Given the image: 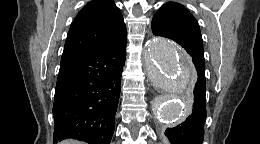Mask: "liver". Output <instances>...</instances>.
<instances>
[{
  "mask_svg": "<svg viewBox=\"0 0 260 144\" xmlns=\"http://www.w3.org/2000/svg\"><path fill=\"white\" fill-rule=\"evenodd\" d=\"M63 144H78V143L75 141H72V140H66V141H63Z\"/></svg>",
  "mask_w": 260,
  "mask_h": 144,
  "instance_id": "liver-1",
  "label": "liver"
}]
</instances>
